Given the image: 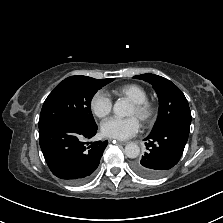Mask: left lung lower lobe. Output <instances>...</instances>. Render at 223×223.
Returning a JSON list of instances; mask_svg holds the SVG:
<instances>
[{"mask_svg": "<svg viewBox=\"0 0 223 223\" xmlns=\"http://www.w3.org/2000/svg\"><path fill=\"white\" fill-rule=\"evenodd\" d=\"M188 136L189 129L179 125L151 133L145 139L147 151L133 163V170L147 179L164 176L179 162Z\"/></svg>", "mask_w": 223, "mask_h": 223, "instance_id": "obj_1", "label": "left lung lower lobe"}]
</instances>
